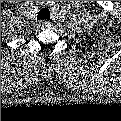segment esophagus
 <instances>
[{"label":"esophagus","mask_w":121,"mask_h":121,"mask_svg":"<svg viewBox=\"0 0 121 121\" xmlns=\"http://www.w3.org/2000/svg\"><path fill=\"white\" fill-rule=\"evenodd\" d=\"M40 25H41L42 27L47 28V27H50V26H51V23H50L49 21H47V20H42V21L40 22Z\"/></svg>","instance_id":"esophagus-1"}]
</instances>
